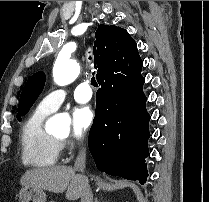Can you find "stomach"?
<instances>
[{
  "label": "stomach",
  "mask_w": 209,
  "mask_h": 202,
  "mask_svg": "<svg viewBox=\"0 0 209 202\" xmlns=\"http://www.w3.org/2000/svg\"><path fill=\"white\" fill-rule=\"evenodd\" d=\"M20 202H46V194L41 188L23 186L19 191Z\"/></svg>",
  "instance_id": "0dacf381"
}]
</instances>
